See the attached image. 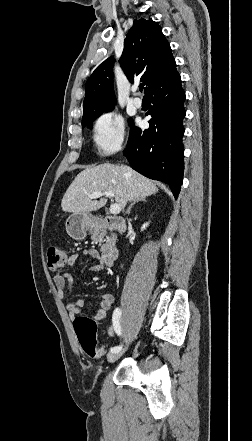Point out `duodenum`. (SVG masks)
I'll return each mask as SVG.
<instances>
[{"mask_svg": "<svg viewBox=\"0 0 252 441\" xmlns=\"http://www.w3.org/2000/svg\"><path fill=\"white\" fill-rule=\"evenodd\" d=\"M101 221L104 225L116 229L120 232H124L126 229L125 222L123 221V219L116 216H107L104 217ZM117 256H118V250L115 247L111 246L102 252L101 259L104 265L109 267L113 265Z\"/></svg>", "mask_w": 252, "mask_h": 441, "instance_id": "1", "label": "duodenum"}]
</instances>
